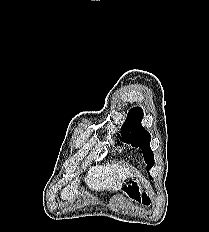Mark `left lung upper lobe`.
<instances>
[{"label":"left lung upper lobe","mask_w":209,"mask_h":232,"mask_svg":"<svg viewBox=\"0 0 209 232\" xmlns=\"http://www.w3.org/2000/svg\"><path fill=\"white\" fill-rule=\"evenodd\" d=\"M143 111L140 107L132 108L121 127L122 138L126 143L140 147L144 152L147 171L154 165L153 151L150 148L151 136L141 125Z\"/></svg>","instance_id":"5c2ea615"}]
</instances>
